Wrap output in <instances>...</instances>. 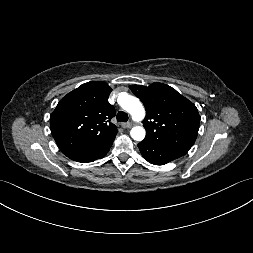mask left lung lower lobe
Instances as JSON below:
<instances>
[{
  "instance_id": "0a47b994",
  "label": "left lung lower lobe",
  "mask_w": 253,
  "mask_h": 253,
  "mask_svg": "<svg viewBox=\"0 0 253 253\" xmlns=\"http://www.w3.org/2000/svg\"><path fill=\"white\" fill-rule=\"evenodd\" d=\"M138 148L142 156L154 165L166 164L186 154L178 149L163 147L143 141L138 144Z\"/></svg>"
}]
</instances>
